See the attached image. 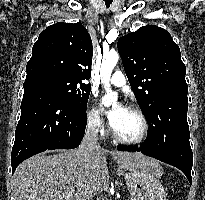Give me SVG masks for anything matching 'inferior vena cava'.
<instances>
[{"instance_id":"1","label":"inferior vena cava","mask_w":205,"mask_h":200,"mask_svg":"<svg viewBox=\"0 0 205 200\" xmlns=\"http://www.w3.org/2000/svg\"><path fill=\"white\" fill-rule=\"evenodd\" d=\"M99 148L100 145L98 143V125L96 122H90L88 124L84 139L80 144L77 152L82 155H88Z\"/></svg>"}]
</instances>
